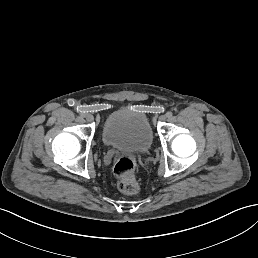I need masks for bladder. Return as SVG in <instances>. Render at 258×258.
Wrapping results in <instances>:
<instances>
[{"mask_svg":"<svg viewBox=\"0 0 258 258\" xmlns=\"http://www.w3.org/2000/svg\"><path fill=\"white\" fill-rule=\"evenodd\" d=\"M153 133L145 113L123 107L108 114L102 127L103 143L118 154L136 157L148 151Z\"/></svg>","mask_w":258,"mask_h":258,"instance_id":"bladder-1","label":"bladder"}]
</instances>
